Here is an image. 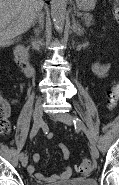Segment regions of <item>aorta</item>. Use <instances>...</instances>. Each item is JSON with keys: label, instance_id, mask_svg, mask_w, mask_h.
<instances>
[{"label": "aorta", "instance_id": "762f6f07", "mask_svg": "<svg viewBox=\"0 0 119 185\" xmlns=\"http://www.w3.org/2000/svg\"><path fill=\"white\" fill-rule=\"evenodd\" d=\"M68 0H51V17L58 32L63 30Z\"/></svg>", "mask_w": 119, "mask_h": 185}]
</instances>
